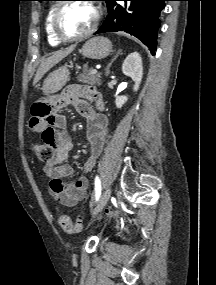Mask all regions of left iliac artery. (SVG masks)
Segmentation results:
<instances>
[{
  "mask_svg": "<svg viewBox=\"0 0 216 285\" xmlns=\"http://www.w3.org/2000/svg\"><path fill=\"white\" fill-rule=\"evenodd\" d=\"M101 195V182L98 176L95 177V198L98 201Z\"/></svg>",
  "mask_w": 216,
  "mask_h": 285,
  "instance_id": "1",
  "label": "left iliac artery"
}]
</instances>
